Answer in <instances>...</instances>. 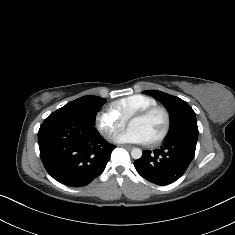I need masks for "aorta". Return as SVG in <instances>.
<instances>
[{"instance_id":"aorta-1","label":"aorta","mask_w":235,"mask_h":235,"mask_svg":"<svg viewBox=\"0 0 235 235\" xmlns=\"http://www.w3.org/2000/svg\"><path fill=\"white\" fill-rule=\"evenodd\" d=\"M131 156L133 159H140L142 157V150L139 148H133L131 150Z\"/></svg>"}]
</instances>
